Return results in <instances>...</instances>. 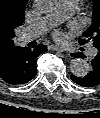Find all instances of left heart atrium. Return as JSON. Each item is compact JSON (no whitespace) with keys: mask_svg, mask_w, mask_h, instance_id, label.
Segmentation results:
<instances>
[{"mask_svg":"<svg viewBox=\"0 0 100 118\" xmlns=\"http://www.w3.org/2000/svg\"><path fill=\"white\" fill-rule=\"evenodd\" d=\"M54 37H55L56 39H62V38H63V34H62L60 31H56V32L54 33Z\"/></svg>","mask_w":100,"mask_h":118,"instance_id":"obj_1","label":"left heart atrium"}]
</instances>
